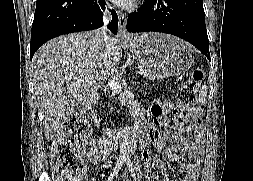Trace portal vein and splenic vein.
I'll list each match as a JSON object with an SVG mask.
<instances>
[{
	"label": "portal vein and splenic vein",
	"mask_w": 253,
	"mask_h": 181,
	"mask_svg": "<svg viewBox=\"0 0 253 181\" xmlns=\"http://www.w3.org/2000/svg\"><path fill=\"white\" fill-rule=\"evenodd\" d=\"M109 86L112 89H115V90H120L121 89V85H119V83L117 81H115V80H110Z\"/></svg>",
	"instance_id": "obj_1"
}]
</instances>
